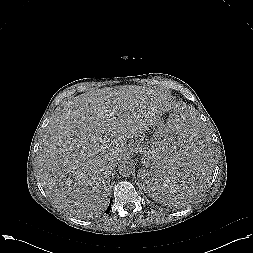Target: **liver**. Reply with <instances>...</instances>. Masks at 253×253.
<instances>
[{
  "instance_id": "obj_1",
  "label": "liver",
  "mask_w": 253,
  "mask_h": 253,
  "mask_svg": "<svg viewBox=\"0 0 253 253\" xmlns=\"http://www.w3.org/2000/svg\"><path fill=\"white\" fill-rule=\"evenodd\" d=\"M159 90L125 85L91 90L55 109L37 155L40 181L53 204L76 218L101 214L111 170L130 145L171 108Z\"/></svg>"
}]
</instances>
